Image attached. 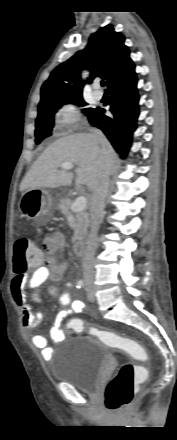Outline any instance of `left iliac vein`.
Segmentation results:
<instances>
[{"mask_svg":"<svg viewBox=\"0 0 177 440\" xmlns=\"http://www.w3.org/2000/svg\"><path fill=\"white\" fill-rule=\"evenodd\" d=\"M86 291H87V297H88V299H89L91 302H93V301L95 300V294H94L93 289L90 288V287H87V288H86Z\"/></svg>","mask_w":177,"mask_h":440,"instance_id":"1","label":"left iliac vein"}]
</instances>
